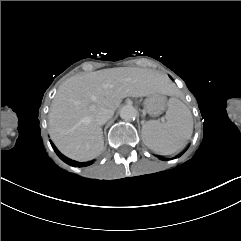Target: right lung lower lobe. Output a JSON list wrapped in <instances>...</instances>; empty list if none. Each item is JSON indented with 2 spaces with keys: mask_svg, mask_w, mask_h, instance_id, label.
Masks as SVG:
<instances>
[{
  "mask_svg": "<svg viewBox=\"0 0 241 241\" xmlns=\"http://www.w3.org/2000/svg\"><path fill=\"white\" fill-rule=\"evenodd\" d=\"M52 144V147L54 149V151L56 152V154L60 157V159H62L64 162H66L67 164L69 165H72V166H76V167H85V166H89L93 163V161H89V162H77V161H74V160H71L69 158H67L66 156H64L63 154H61L57 148L54 146L53 143Z\"/></svg>",
  "mask_w": 241,
  "mask_h": 241,
  "instance_id": "98d812e1",
  "label": "right lung lower lobe"
}]
</instances>
